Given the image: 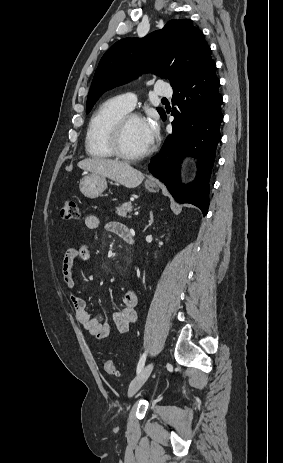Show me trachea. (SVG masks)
I'll use <instances>...</instances> for the list:
<instances>
[{
    "label": "trachea",
    "instance_id": "trachea-1",
    "mask_svg": "<svg viewBox=\"0 0 283 463\" xmlns=\"http://www.w3.org/2000/svg\"><path fill=\"white\" fill-rule=\"evenodd\" d=\"M162 100L167 101V99L163 98Z\"/></svg>",
    "mask_w": 283,
    "mask_h": 463
}]
</instances>
